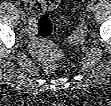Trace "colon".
Here are the masks:
<instances>
[{"label":"colon","mask_w":111,"mask_h":106,"mask_svg":"<svg viewBox=\"0 0 111 106\" xmlns=\"http://www.w3.org/2000/svg\"><path fill=\"white\" fill-rule=\"evenodd\" d=\"M36 33L39 41L36 48L39 51H46V57L43 60V68L46 72L51 73L56 70V50L52 47L48 38L53 34L52 20L47 16H41L36 24Z\"/></svg>","instance_id":"obj_1"}]
</instances>
